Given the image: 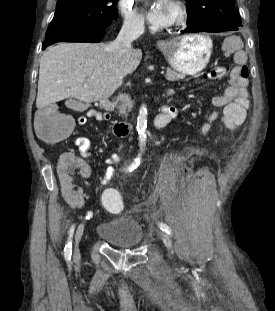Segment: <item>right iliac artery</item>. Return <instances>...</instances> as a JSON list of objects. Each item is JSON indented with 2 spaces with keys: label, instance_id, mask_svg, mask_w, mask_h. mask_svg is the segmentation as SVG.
<instances>
[{
  "label": "right iliac artery",
  "instance_id": "right-iliac-artery-1",
  "mask_svg": "<svg viewBox=\"0 0 275 311\" xmlns=\"http://www.w3.org/2000/svg\"><path fill=\"white\" fill-rule=\"evenodd\" d=\"M139 164H140V156L135 158L134 162H132L131 165H129V167H127L125 169V171L126 172H132L134 169H136L138 167ZM92 215H93V213L91 211H88V213L86 215V219H90L92 217ZM74 228H75L74 225L70 228L68 242L64 248V257L67 261H69L71 259V255H72V240L71 239L73 237Z\"/></svg>",
  "mask_w": 275,
  "mask_h": 311
}]
</instances>
